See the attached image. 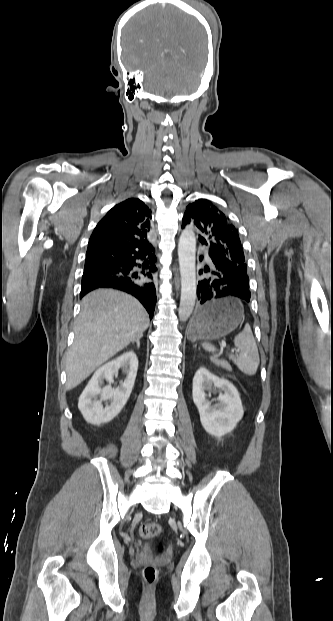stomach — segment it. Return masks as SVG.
<instances>
[{"mask_svg":"<svg viewBox=\"0 0 333 621\" xmlns=\"http://www.w3.org/2000/svg\"><path fill=\"white\" fill-rule=\"evenodd\" d=\"M242 318V306L237 299L211 301L195 314L188 337L193 341L221 338L237 328Z\"/></svg>","mask_w":333,"mask_h":621,"instance_id":"0dacf381","label":"stomach"}]
</instances>
